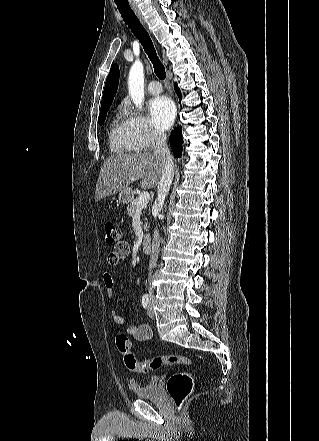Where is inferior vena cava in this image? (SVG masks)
I'll list each match as a JSON object with an SVG mask.
<instances>
[{
	"label": "inferior vena cava",
	"mask_w": 319,
	"mask_h": 441,
	"mask_svg": "<svg viewBox=\"0 0 319 441\" xmlns=\"http://www.w3.org/2000/svg\"><path fill=\"white\" fill-rule=\"evenodd\" d=\"M155 138H156V148L153 152V155L164 162V171L161 175V179L157 189V199L155 201V205L158 206L159 209H161L163 207L165 197L167 196L173 181L174 162H173V156L171 155V152L166 143V134L159 131L156 133ZM160 242H161V238L159 236V231L157 228H155L153 233L152 253L150 255L149 274H148V280H149L148 291L150 296L153 295V286L151 285V277H152L151 274H152V269L155 267L157 263Z\"/></svg>",
	"instance_id": "1"
}]
</instances>
